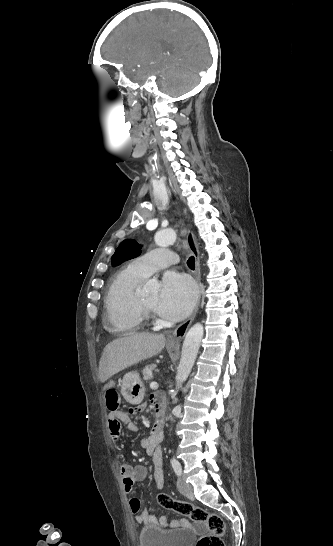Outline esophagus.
I'll return each mask as SVG.
<instances>
[{"mask_svg":"<svg viewBox=\"0 0 333 546\" xmlns=\"http://www.w3.org/2000/svg\"><path fill=\"white\" fill-rule=\"evenodd\" d=\"M187 244H188V247H189L191 253L193 254V256L195 258L194 276H195V279L198 282V284H200V281H201V267H200L199 250H198V246H197L194 234L190 229L187 231ZM200 293L201 292H199V297H200ZM199 303H200V299L198 300L197 305H196L193 313L190 315V317L187 320H185L182 324H180L173 331V333L170 335V337L168 339V342L170 344H174V345L180 344L181 340L184 338L188 328L192 324V322H193V320H194V318H195V316L197 314V311L199 309Z\"/></svg>","mask_w":333,"mask_h":546,"instance_id":"1","label":"esophagus"}]
</instances>
